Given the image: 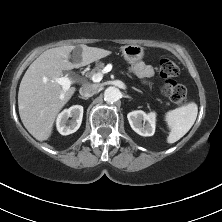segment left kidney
<instances>
[{"label":"left kidney","instance_id":"left-kidney-1","mask_svg":"<svg viewBox=\"0 0 222 222\" xmlns=\"http://www.w3.org/2000/svg\"><path fill=\"white\" fill-rule=\"evenodd\" d=\"M131 128L141 136H152L155 132L156 114H146L142 110L132 111L127 115Z\"/></svg>","mask_w":222,"mask_h":222}]
</instances>
